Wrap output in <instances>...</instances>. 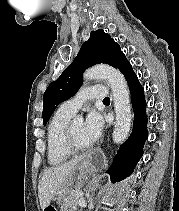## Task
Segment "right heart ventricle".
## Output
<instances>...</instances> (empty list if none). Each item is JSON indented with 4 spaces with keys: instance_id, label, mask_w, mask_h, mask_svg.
Segmentation results:
<instances>
[{
    "instance_id": "e07e8e85",
    "label": "right heart ventricle",
    "mask_w": 179,
    "mask_h": 211,
    "mask_svg": "<svg viewBox=\"0 0 179 211\" xmlns=\"http://www.w3.org/2000/svg\"><path fill=\"white\" fill-rule=\"evenodd\" d=\"M73 114L59 108L50 119L46 133V153L48 163L59 166L68 161L71 153L66 149L64 143L65 131Z\"/></svg>"
}]
</instances>
